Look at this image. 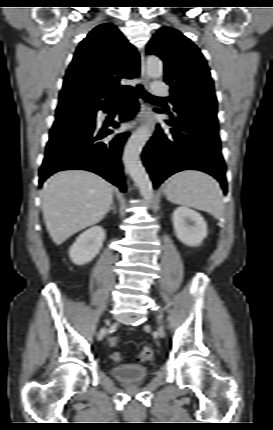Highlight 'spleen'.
<instances>
[{
  "mask_svg": "<svg viewBox=\"0 0 273 430\" xmlns=\"http://www.w3.org/2000/svg\"><path fill=\"white\" fill-rule=\"evenodd\" d=\"M167 200L181 206L210 213L215 218L224 214L219 184L210 175L197 170H183L166 180Z\"/></svg>",
  "mask_w": 273,
  "mask_h": 430,
  "instance_id": "obj_1",
  "label": "spleen"
}]
</instances>
